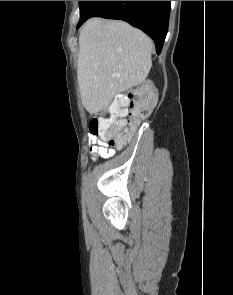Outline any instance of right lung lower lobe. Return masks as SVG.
<instances>
[{
	"label": "right lung lower lobe",
	"mask_w": 233,
	"mask_h": 295,
	"mask_svg": "<svg viewBox=\"0 0 233 295\" xmlns=\"http://www.w3.org/2000/svg\"><path fill=\"white\" fill-rule=\"evenodd\" d=\"M170 7L171 1H89L77 28L93 16L124 20L147 33L160 54L168 31Z\"/></svg>",
	"instance_id": "right-lung-lower-lobe-1"
}]
</instances>
